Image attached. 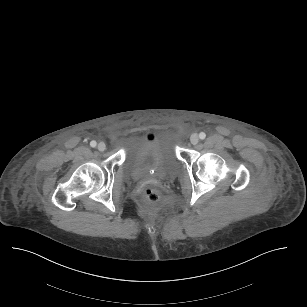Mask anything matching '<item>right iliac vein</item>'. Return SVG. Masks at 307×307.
I'll list each match as a JSON object with an SVG mask.
<instances>
[{
    "mask_svg": "<svg viewBox=\"0 0 307 307\" xmlns=\"http://www.w3.org/2000/svg\"><path fill=\"white\" fill-rule=\"evenodd\" d=\"M97 148H98L99 151H104L105 148H106V145H105V143L100 142V143L97 145Z\"/></svg>",
    "mask_w": 307,
    "mask_h": 307,
    "instance_id": "63e3f726",
    "label": "right iliac vein"
}]
</instances>
